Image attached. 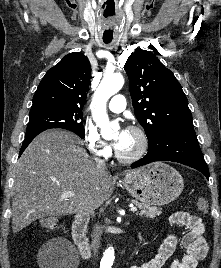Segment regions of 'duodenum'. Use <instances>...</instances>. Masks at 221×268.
<instances>
[{
  "label": "duodenum",
  "mask_w": 221,
  "mask_h": 268,
  "mask_svg": "<svg viewBox=\"0 0 221 268\" xmlns=\"http://www.w3.org/2000/svg\"><path fill=\"white\" fill-rule=\"evenodd\" d=\"M88 221L89 217L87 214L79 213L76 215L72 225V238L84 258H90L92 254L85 234Z\"/></svg>",
  "instance_id": "duodenum-1"
}]
</instances>
